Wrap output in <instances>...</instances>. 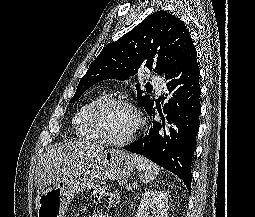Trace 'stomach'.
<instances>
[{
	"instance_id": "1",
	"label": "stomach",
	"mask_w": 255,
	"mask_h": 217,
	"mask_svg": "<svg viewBox=\"0 0 255 217\" xmlns=\"http://www.w3.org/2000/svg\"><path fill=\"white\" fill-rule=\"evenodd\" d=\"M135 167L129 153L107 149L61 180L41 190L37 197V217H64L73 196L108 179L124 180Z\"/></svg>"
}]
</instances>
